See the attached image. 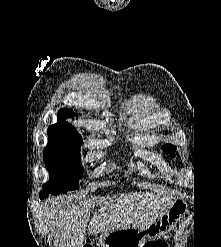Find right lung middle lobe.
Returning a JSON list of instances; mask_svg holds the SVG:
<instances>
[{
  "mask_svg": "<svg viewBox=\"0 0 221 247\" xmlns=\"http://www.w3.org/2000/svg\"><path fill=\"white\" fill-rule=\"evenodd\" d=\"M48 137L44 163L50 180L43 185L42 191L57 195L77 190L78 179L83 173L80 155L82 138L52 132H48Z\"/></svg>",
  "mask_w": 221,
  "mask_h": 247,
  "instance_id": "right-lung-middle-lobe-1",
  "label": "right lung middle lobe"
}]
</instances>
